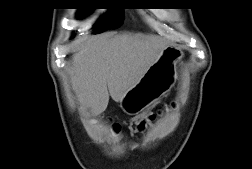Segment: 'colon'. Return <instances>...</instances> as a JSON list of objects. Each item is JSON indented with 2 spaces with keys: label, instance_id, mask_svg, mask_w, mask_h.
<instances>
[{
  "label": "colon",
  "instance_id": "obj_1",
  "mask_svg": "<svg viewBox=\"0 0 252 169\" xmlns=\"http://www.w3.org/2000/svg\"><path fill=\"white\" fill-rule=\"evenodd\" d=\"M154 118H155V115H152V116L149 117V120H154ZM144 125H145V123H142V124L140 125V128H143ZM115 128L117 129V126H116Z\"/></svg>",
  "mask_w": 252,
  "mask_h": 169
}]
</instances>
